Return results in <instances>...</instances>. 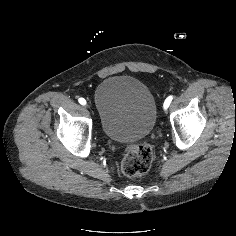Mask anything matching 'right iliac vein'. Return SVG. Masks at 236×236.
<instances>
[{
	"label": "right iliac vein",
	"mask_w": 236,
	"mask_h": 236,
	"mask_svg": "<svg viewBox=\"0 0 236 236\" xmlns=\"http://www.w3.org/2000/svg\"><path fill=\"white\" fill-rule=\"evenodd\" d=\"M85 106H86V107L88 106L87 108H88V109L90 108V111H91L92 113H94V114H93V117H94V118H97V117H98V114L95 113V112H96V109H95L94 107H92L91 105H87V104H86Z\"/></svg>",
	"instance_id": "63e3f726"
}]
</instances>
